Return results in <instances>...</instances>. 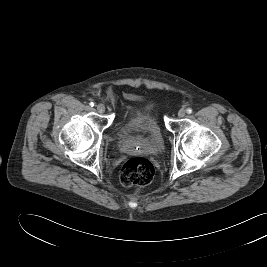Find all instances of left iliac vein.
<instances>
[{
  "instance_id": "4c4485c4",
  "label": "left iliac vein",
  "mask_w": 267,
  "mask_h": 267,
  "mask_svg": "<svg viewBox=\"0 0 267 267\" xmlns=\"http://www.w3.org/2000/svg\"><path fill=\"white\" fill-rule=\"evenodd\" d=\"M185 115H186V111H185L184 109H180V110L178 111V116H179L180 118H183Z\"/></svg>"
}]
</instances>
